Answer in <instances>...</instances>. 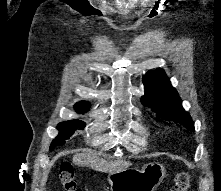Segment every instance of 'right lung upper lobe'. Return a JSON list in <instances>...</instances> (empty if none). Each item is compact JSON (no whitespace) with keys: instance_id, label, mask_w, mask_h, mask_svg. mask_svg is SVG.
<instances>
[{"instance_id":"obj_1","label":"right lung upper lobe","mask_w":221,"mask_h":191,"mask_svg":"<svg viewBox=\"0 0 221 191\" xmlns=\"http://www.w3.org/2000/svg\"><path fill=\"white\" fill-rule=\"evenodd\" d=\"M74 108L78 112H86L90 108V103L87 101H81L76 103Z\"/></svg>"}]
</instances>
